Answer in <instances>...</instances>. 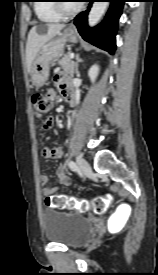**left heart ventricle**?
<instances>
[{"mask_svg": "<svg viewBox=\"0 0 158 275\" xmlns=\"http://www.w3.org/2000/svg\"><path fill=\"white\" fill-rule=\"evenodd\" d=\"M65 5H66V7H67L68 9H73V8H75L76 6H78L77 3H65Z\"/></svg>", "mask_w": 158, "mask_h": 275, "instance_id": "left-heart-ventricle-1", "label": "left heart ventricle"}]
</instances>
